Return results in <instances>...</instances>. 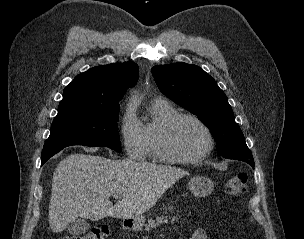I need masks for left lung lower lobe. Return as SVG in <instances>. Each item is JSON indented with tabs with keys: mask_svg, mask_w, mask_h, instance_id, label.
<instances>
[{
	"mask_svg": "<svg viewBox=\"0 0 304 239\" xmlns=\"http://www.w3.org/2000/svg\"><path fill=\"white\" fill-rule=\"evenodd\" d=\"M248 164H250L252 167H254V162L253 163L251 162V163H248Z\"/></svg>",
	"mask_w": 304,
	"mask_h": 239,
	"instance_id": "left-lung-lower-lobe-1",
	"label": "left lung lower lobe"
}]
</instances>
